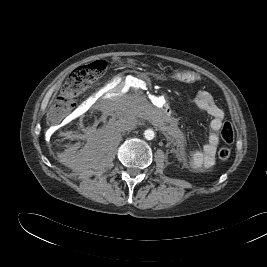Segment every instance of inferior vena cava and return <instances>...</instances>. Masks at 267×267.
I'll list each match as a JSON object with an SVG mask.
<instances>
[{
  "instance_id": "602c4592",
  "label": "inferior vena cava",
  "mask_w": 267,
  "mask_h": 267,
  "mask_svg": "<svg viewBox=\"0 0 267 267\" xmlns=\"http://www.w3.org/2000/svg\"><path fill=\"white\" fill-rule=\"evenodd\" d=\"M137 120L132 116H123L116 121V126L121 131H131L136 128Z\"/></svg>"
}]
</instances>
